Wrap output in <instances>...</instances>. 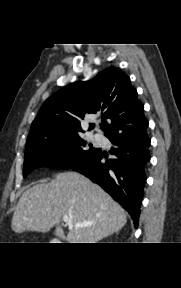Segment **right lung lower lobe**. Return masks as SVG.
<instances>
[{
    "label": "right lung lower lobe",
    "instance_id": "obj_1",
    "mask_svg": "<svg viewBox=\"0 0 181 288\" xmlns=\"http://www.w3.org/2000/svg\"><path fill=\"white\" fill-rule=\"evenodd\" d=\"M108 139L113 144L109 152L115 158L102 162L105 154L97 149L72 168L109 193L131 215L137 227L146 181L145 169L150 160V138L145 130L136 135L119 134Z\"/></svg>",
    "mask_w": 181,
    "mask_h": 288
}]
</instances>
